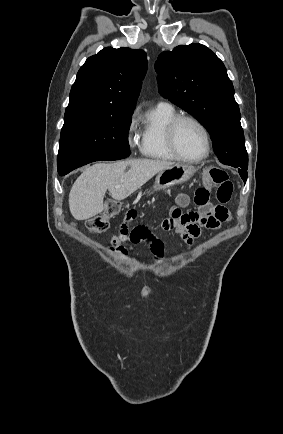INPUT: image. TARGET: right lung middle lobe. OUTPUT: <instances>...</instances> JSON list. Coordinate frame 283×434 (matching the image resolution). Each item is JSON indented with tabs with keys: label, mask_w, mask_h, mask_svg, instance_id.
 Returning a JSON list of instances; mask_svg holds the SVG:
<instances>
[{
	"label": "right lung middle lobe",
	"mask_w": 283,
	"mask_h": 434,
	"mask_svg": "<svg viewBox=\"0 0 283 434\" xmlns=\"http://www.w3.org/2000/svg\"><path fill=\"white\" fill-rule=\"evenodd\" d=\"M131 121L132 114L64 119L57 158L59 175L93 161L128 157Z\"/></svg>",
	"instance_id": "dd1d6c3e"
}]
</instances>
